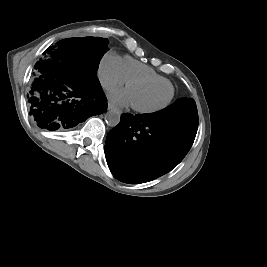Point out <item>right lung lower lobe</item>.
<instances>
[{"instance_id": "obj_1", "label": "right lung lower lobe", "mask_w": 267, "mask_h": 267, "mask_svg": "<svg viewBox=\"0 0 267 267\" xmlns=\"http://www.w3.org/2000/svg\"><path fill=\"white\" fill-rule=\"evenodd\" d=\"M38 61L28 93L29 114L42 129L62 131L106 111L107 99L97 76L89 75L70 52L47 49Z\"/></svg>"}]
</instances>
